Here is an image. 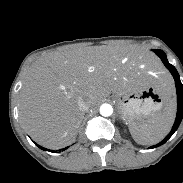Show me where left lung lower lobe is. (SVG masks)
I'll return each mask as SVG.
<instances>
[{
  "instance_id": "obj_1",
  "label": "left lung lower lobe",
  "mask_w": 183,
  "mask_h": 183,
  "mask_svg": "<svg viewBox=\"0 0 183 183\" xmlns=\"http://www.w3.org/2000/svg\"><path fill=\"white\" fill-rule=\"evenodd\" d=\"M154 52L161 58L166 68L171 72V74L174 77L176 90H177V115H176L174 125L171 129V132L160 143L150 148H156L164 144L177 130L183 118V85L180 81L179 74L175 69V67L168 62L166 54L162 50H154Z\"/></svg>"
}]
</instances>
